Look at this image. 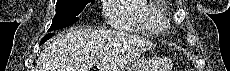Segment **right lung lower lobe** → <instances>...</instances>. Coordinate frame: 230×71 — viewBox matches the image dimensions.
<instances>
[{
  "mask_svg": "<svg viewBox=\"0 0 230 71\" xmlns=\"http://www.w3.org/2000/svg\"><path fill=\"white\" fill-rule=\"evenodd\" d=\"M53 35H54V33H50V34H47L46 36H44L43 39L41 40V44L44 43L45 41H47Z\"/></svg>",
  "mask_w": 230,
  "mask_h": 71,
  "instance_id": "right-lung-lower-lobe-1",
  "label": "right lung lower lobe"
}]
</instances>
